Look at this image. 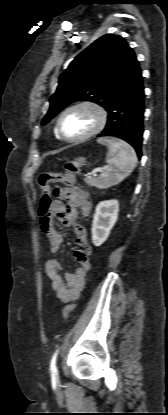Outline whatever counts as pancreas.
Segmentation results:
<instances>
[{
	"mask_svg": "<svg viewBox=\"0 0 168 415\" xmlns=\"http://www.w3.org/2000/svg\"><path fill=\"white\" fill-rule=\"evenodd\" d=\"M84 181L90 186H96L97 185V180L95 178L86 177L84 179Z\"/></svg>",
	"mask_w": 168,
	"mask_h": 415,
	"instance_id": "obj_1",
	"label": "pancreas"
}]
</instances>
